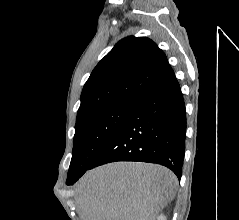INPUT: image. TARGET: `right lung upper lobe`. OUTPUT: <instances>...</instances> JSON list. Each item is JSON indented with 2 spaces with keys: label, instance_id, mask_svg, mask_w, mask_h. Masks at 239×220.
Segmentation results:
<instances>
[{
  "label": "right lung upper lobe",
  "instance_id": "1",
  "mask_svg": "<svg viewBox=\"0 0 239 220\" xmlns=\"http://www.w3.org/2000/svg\"><path fill=\"white\" fill-rule=\"evenodd\" d=\"M173 70L149 38L126 37L97 64L84 85L77 120L93 112L132 104Z\"/></svg>",
  "mask_w": 239,
  "mask_h": 220
}]
</instances>
